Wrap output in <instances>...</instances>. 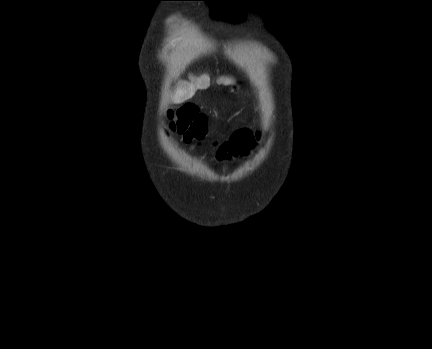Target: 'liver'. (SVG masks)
Wrapping results in <instances>:
<instances>
[{
    "mask_svg": "<svg viewBox=\"0 0 432 349\" xmlns=\"http://www.w3.org/2000/svg\"><path fill=\"white\" fill-rule=\"evenodd\" d=\"M210 78L204 74L200 77H192L191 82H180L176 88L173 102L176 104L183 103L184 101L192 98L197 89H205L209 86ZM218 83L232 84L233 80L228 78H222L218 80Z\"/></svg>",
    "mask_w": 432,
    "mask_h": 349,
    "instance_id": "obj_1",
    "label": "liver"
}]
</instances>
